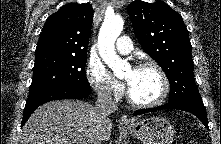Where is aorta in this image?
Instances as JSON below:
<instances>
[{"instance_id": "obj_1", "label": "aorta", "mask_w": 221, "mask_h": 144, "mask_svg": "<svg viewBox=\"0 0 221 144\" xmlns=\"http://www.w3.org/2000/svg\"><path fill=\"white\" fill-rule=\"evenodd\" d=\"M124 21L121 16L106 17L99 31L98 49L105 64L117 76H123L129 64L115 52V41L122 32Z\"/></svg>"}]
</instances>
